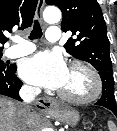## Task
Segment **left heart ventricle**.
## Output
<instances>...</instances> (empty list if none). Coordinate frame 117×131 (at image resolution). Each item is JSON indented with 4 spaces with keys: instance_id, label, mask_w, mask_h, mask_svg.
Listing matches in <instances>:
<instances>
[{
    "instance_id": "1",
    "label": "left heart ventricle",
    "mask_w": 117,
    "mask_h": 131,
    "mask_svg": "<svg viewBox=\"0 0 117 131\" xmlns=\"http://www.w3.org/2000/svg\"><path fill=\"white\" fill-rule=\"evenodd\" d=\"M59 90L74 96L86 95L91 90V79L82 69L68 68L66 79Z\"/></svg>"
}]
</instances>
